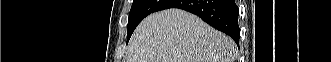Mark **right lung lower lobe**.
I'll return each instance as SVG.
<instances>
[{
  "label": "right lung lower lobe",
  "instance_id": "98d812e1",
  "mask_svg": "<svg viewBox=\"0 0 331 62\" xmlns=\"http://www.w3.org/2000/svg\"><path fill=\"white\" fill-rule=\"evenodd\" d=\"M179 8L199 16L217 30L229 35L239 46L240 29L235 0H171L162 10Z\"/></svg>",
  "mask_w": 331,
  "mask_h": 62
}]
</instances>
